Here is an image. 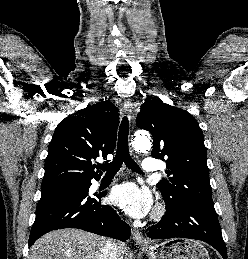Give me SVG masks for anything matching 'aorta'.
<instances>
[{"mask_svg": "<svg viewBox=\"0 0 248 259\" xmlns=\"http://www.w3.org/2000/svg\"><path fill=\"white\" fill-rule=\"evenodd\" d=\"M132 146L138 151L149 150L151 148V141L145 134H136L132 140Z\"/></svg>", "mask_w": 248, "mask_h": 259, "instance_id": "aorta-1", "label": "aorta"}]
</instances>
